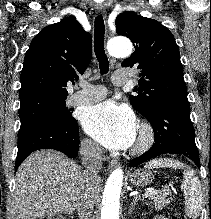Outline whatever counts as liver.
I'll return each instance as SVG.
<instances>
[{
	"label": "liver",
	"mask_w": 211,
	"mask_h": 219,
	"mask_svg": "<svg viewBox=\"0 0 211 219\" xmlns=\"http://www.w3.org/2000/svg\"><path fill=\"white\" fill-rule=\"evenodd\" d=\"M13 219H37L71 214L85 185L82 168L55 150L30 154L16 172ZM98 186L94 200L99 198Z\"/></svg>",
	"instance_id": "liver-1"
}]
</instances>
